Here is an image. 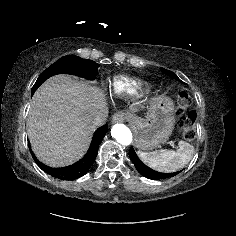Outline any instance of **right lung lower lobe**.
I'll list each match as a JSON object with an SVG mask.
<instances>
[{
	"mask_svg": "<svg viewBox=\"0 0 236 236\" xmlns=\"http://www.w3.org/2000/svg\"><path fill=\"white\" fill-rule=\"evenodd\" d=\"M107 132V125H104L100 127L98 130L95 131L93 135V139L90 145V148L88 152L85 154V156L80 159L78 162L62 168H51L43 163H41L34 153L31 151L32 157L36 164L46 173L50 174L51 176L61 179V180H74L82 177L85 175L89 168L92 166L97 153H98V147L104 138L105 134ZM28 146L30 148V142L28 141Z\"/></svg>",
	"mask_w": 236,
	"mask_h": 236,
	"instance_id": "98d812e1",
	"label": "right lung lower lobe"
}]
</instances>
